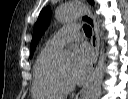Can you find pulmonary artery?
Listing matches in <instances>:
<instances>
[{
    "mask_svg": "<svg viewBox=\"0 0 128 99\" xmlns=\"http://www.w3.org/2000/svg\"><path fill=\"white\" fill-rule=\"evenodd\" d=\"M79 37V26L76 24H70L55 33L54 36L48 40L46 46L51 49L57 50L67 43L78 40Z\"/></svg>",
    "mask_w": 128,
    "mask_h": 99,
    "instance_id": "1",
    "label": "pulmonary artery"
}]
</instances>
